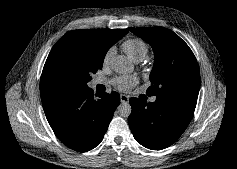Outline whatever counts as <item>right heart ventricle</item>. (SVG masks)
I'll list each match as a JSON object with an SVG mask.
<instances>
[{"label":"right heart ventricle","instance_id":"1","mask_svg":"<svg viewBox=\"0 0 237 169\" xmlns=\"http://www.w3.org/2000/svg\"><path fill=\"white\" fill-rule=\"evenodd\" d=\"M123 51L135 62L143 61L149 53L148 44L139 38H129L122 44Z\"/></svg>","mask_w":237,"mask_h":169}]
</instances>
